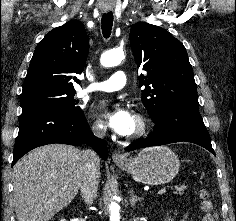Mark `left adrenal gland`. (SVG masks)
<instances>
[{
	"mask_svg": "<svg viewBox=\"0 0 236 221\" xmlns=\"http://www.w3.org/2000/svg\"><path fill=\"white\" fill-rule=\"evenodd\" d=\"M129 193H130V199H129V201H130V205H131L132 207H134L135 204H136L138 201L143 200V197H139V196L135 195V192H134L133 189H130Z\"/></svg>",
	"mask_w": 236,
	"mask_h": 221,
	"instance_id": "obj_1",
	"label": "left adrenal gland"
}]
</instances>
